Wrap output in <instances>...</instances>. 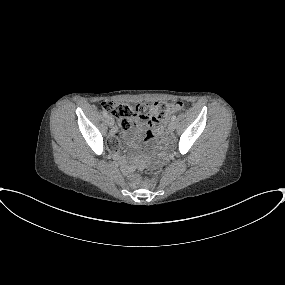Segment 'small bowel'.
Masks as SVG:
<instances>
[{
  "instance_id": "c3829d8e",
  "label": "small bowel",
  "mask_w": 285,
  "mask_h": 285,
  "mask_svg": "<svg viewBox=\"0 0 285 285\" xmlns=\"http://www.w3.org/2000/svg\"><path fill=\"white\" fill-rule=\"evenodd\" d=\"M157 126V130H160V126L157 125L154 121H147L144 123H139L136 124L134 126V132H135V136L134 137H130L127 133L125 132H117L115 131L112 135V137H110L107 141L106 144V148L110 151H114L116 150V148L119 145V137H123L127 140H129L130 142H132L135 139H138L140 136H142L144 133H146L147 135H152L153 132V128ZM121 164L124 167L125 164L124 162L121 160ZM136 183V179L134 177H131L130 179V184L133 186Z\"/></svg>"
}]
</instances>
